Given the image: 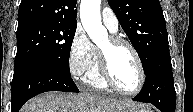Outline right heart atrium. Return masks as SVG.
I'll list each match as a JSON object with an SVG mask.
<instances>
[{
  "label": "right heart atrium",
  "instance_id": "right-heart-atrium-1",
  "mask_svg": "<svg viewBox=\"0 0 193 112\" xmlns=\"http://www.w3.org/2000/svg\"><path fill=\"white\" fill-rule=\"evenodd\" d=\"M95 59V49L85 32L78 28L70 42L68 67L74 77H83L90 70Z\"/></svg>",
  "mask_w": 193,
  "mask_h": 112
}]
</instances>
